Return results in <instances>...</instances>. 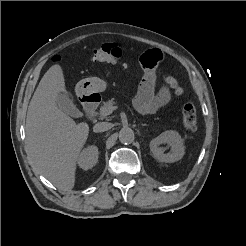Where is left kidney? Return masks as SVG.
Wrapping results in <instances>:
<instances>
[{"label":"left kidney","mask_w":246,"mask_h":246,"mask_svg":"<svg viewBox=\"0 0 246 246\" xmlns=\"http://www.w3.org/2000/svg\"><path fill=\"white\" fill-rule=\"evenodd\" d=\"M162 144H168L171 148L169 153H164L165 149L161 147ZM150 151L154 158L161 162L173 163L184 156L185 147L183 140L178 132L169 130L161 133L150 142Z\"/></svg>","instance_id":"1"}]
</instances>
